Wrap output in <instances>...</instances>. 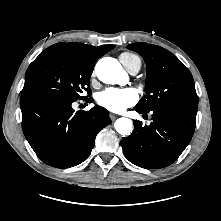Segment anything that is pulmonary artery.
<instances>
[{"label": "pulmonary artery", "mask_w": 221, "mask_h": 221, "mask_svg": "<svg viewBox=\"0 0 221 221\" xmlns=\"http://www.w3.org/2000/svg\"><path fill=\"white\" fill-rule=\"evenodd\" d=\"M141 68V61L140 60H136L133 61L128 67V71L130 72V74L135 75L139 72Z\"/></svg>", "instance_id": "1"}]
</instances>
